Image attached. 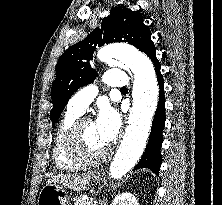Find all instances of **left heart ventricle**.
<instances>
[{
  "instance_id": "1",
  "label": "left heart ventricle",
  "mask_w": 222,
  "mask_h": 205,
  "mask_svg": "<svg viewBox=\"0 0 222 205\" xmlns=\"http://www.w3.org/2000/svg\"><path fill=\"white\" fill-rule=\"evenodd\" d=\"M82 146L85 153L89 156L100 154L107 148L99 137L93 122H86L82 127Z\"/></svg>"
}]
</instances>
